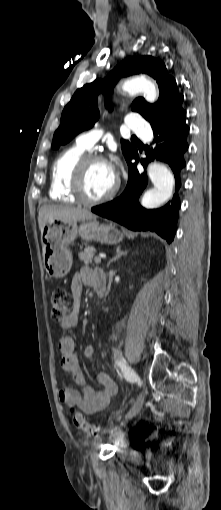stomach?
<instances>
[{
    "label": "stomach",
    "instance_id": "1",
    "mask_svg": "<svg viewBox=\"0 0 221 510\" xmlns=\"http://www.w3.org/2000/svg\"><path fill=\"white\" fill-rule=\"evenodd\" d=\"M80 236L85 241H98L104 244H117L123 233L115 224H100L95 220L66 222L49 220L41 232L42 255L46 271L50 277L62 278L70 271L73 263L69 245Z\"/></svg>",
    "mask_w": 221,
    "mask_h": 510
}]
</instances>
